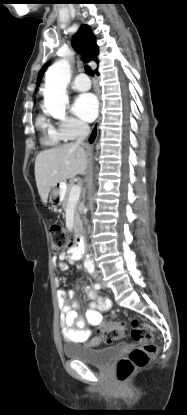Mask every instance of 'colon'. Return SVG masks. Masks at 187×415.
Instances as JSON below:
<instances>
[{"instance_id":"colon-1","label":"colon","mask_w":187,"mask_h":415,"mask_svg":"<svg viewBox=\"0 0 187 415\" xmlns=\"http://www.w3.org/2000/svg\"><path fill=\"white\" fill-rule=\"evenodd\" d=\"M49 233L52 251L55 255L63 254L73 243L71 233L59 224H52ZM131 326V338L140 345L127 356L118 360L115 372L120 382L127 381L137 369L147 366L158 351L153 331L149 327L141 324L140 320L136 318L132 319ZM100 331L104 334L107 342L119 339L126 333L123 325L119 322L101 325Z\"/></svg>"}]
</instances>
